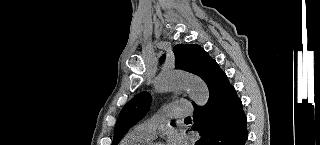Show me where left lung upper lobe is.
Returning <instances> with one entry per match:
<instances>
[{
    "label": "left lung upper lobe",
    "mask_w": 320,
    "mask_h": 145,
    "mask_svg": "<svg viewBox=\"0 0 320 145\" xmlns=\"http://www.w3.org/2000/svg\"><path fill=\"white\" fill-rule=\"evenodd\" d=\"M175 67L200 76L204 68L213 60L208 53L197 44H178L174 47ZM165 55L160 58L164 62ZM151 96L141 92L134 96L121 110L114 131L112 145H117L120 138L135 125L148 111ZM175 125L174 123H171Z\"/></svg>",
    "instance_id": "left-lung-upper-lobe-1"
}]
</instances>
